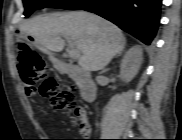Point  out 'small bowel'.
Returning a JSON list of instances; mask_svg holds the SVG:
<instances>
[{"label":"small bowel","mask_w":182,"mask_h":140,"mask_svg":"<svg viewBox=\"0 0 182 140\" xmlns=\"http://www.w3.org/2000/svg\"><path fill=\"white\" fill-rule=\"evenodd\" d=\"M90 131L91 130L89 124L85 120H83L79 129V133L82 136V138H89ZM82 140H88V139H82Z\"/></svg>","instance_id":"obj_1"}]
</instances>
